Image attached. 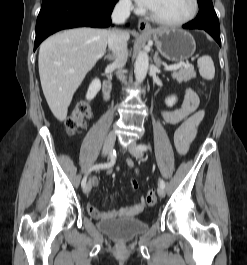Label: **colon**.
I'll use <instances>...</instances> for the list:
<instances>
[{
	"instance_id": "1",
	"label": "colon",
	"mask_w": 247,
	"mask_h": 265,
	"mask_svg": "<svg viewBox=\"0 0 247 265\" xmlns=\"http://www.w3.org/2000/svg\"><path fill=\"white\" fill-rule=\"evenodd\" d=\"M92 115L90 102L81 101L76 104L71 114L66 120V130L68 134L74 135L86 126L87 121ZM175 143V139H174ZM137 183L133 181V188H137ZM157 202V196L154 191H149L145 197V203L148 206H154Z\"/></svg>"
}]
</instances>
